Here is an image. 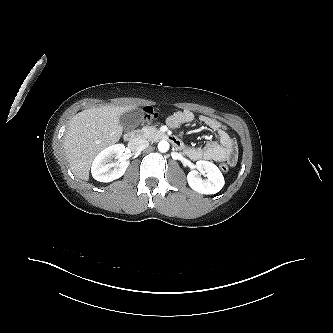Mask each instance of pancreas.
<instances>
[{
    "instance_id": "obj_1",
    "label": "pancreas",
    "mask_w": 333,
    "mask_h": 333,
    "mask_svg": "<svg viewBox=\"0 0 333 333\" xmlns=\"http://www.w3.org/2000/svg\"><path fill=\"white\" fill-rule=\"evenodd\" d=\"M140 133L143 134V137L146 139H152L153 135L158 133V130L154 126H149V127H143L140 130Z\"/></svg>"
}]
</instances>
